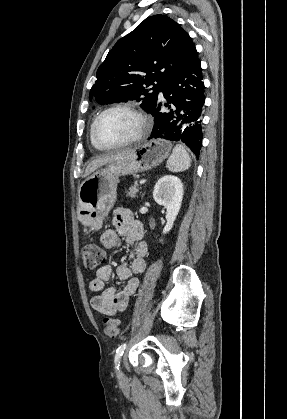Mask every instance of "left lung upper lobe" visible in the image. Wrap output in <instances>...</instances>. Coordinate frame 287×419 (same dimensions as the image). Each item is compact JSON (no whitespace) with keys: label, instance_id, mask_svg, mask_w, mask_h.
Masks as SVG:
<instances>
[{"label":"left lung upper lobe","instance_id":"obj_1","mask_svg":"<svg viewBox=\"0 0 287 419\" xmlns=\"http://www.w3.org/2000/svg\"><path fill=\"white\" fill-rule=\"evenodd\" d=\"M196 58V48L179 24L165 15L150 16L109 51L98 68L90 98L101 104L141 101L149 112L163 84ZM150 85L151 89L145 88Z\"/></svg>","mask_w":287,"mask_h":419}]
</instances>
